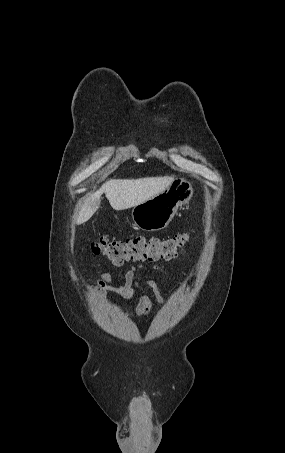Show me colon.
Instances as JSON below:
<instances>
[{
    "label": "colon",
    "mask_w": 285,
    "mask_h": 453,
    "mask_svg": "<svg viewBox=\"0 0 285 453\" xmlns=\"http://www.w3.org/2000/svg\"><path fill=\"white\" fill-rule=\"evenodd\" d=\"M189 241L188 233H178L168 238L142 236L125 240H110L99 235L91 244L94 254L107 256L112 262L170 260L179 256Z\"/></svg>",
    "instance_id": "colon-1"
}]
</instances>
